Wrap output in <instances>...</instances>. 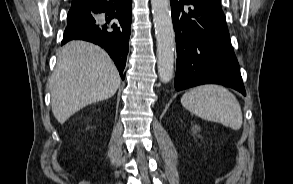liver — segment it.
<instances>
[{
    "label": "liver",
    "mask_w": 293,
    "mask_h": 184,
    "mask_svg": "<svg viewBox=\"0 0 293 184\" xmlns=\"http://www.w3.org/2000/svg\"><path fill=\"white\" fill-rule=\"evenodd\" d=\"M57 57L50 91L52 112L60 124L84 107L112 97L120 86L113 61L97 45L71 41Z\"/></svg>",
    "instance_id": "obj_1"
}]
</instances>
